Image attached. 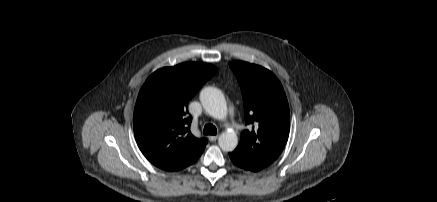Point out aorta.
I'll use <instances>...</instances> for the list:
<instances>
[{
	"mask_svg": "<svg viewBox=\"0 0 437 202\" xmlns=\"http://www.w3.org/2000/svg\"><path fill=\"white\" fill-rule=\"evenodd\" d=\"M200 101L205 111L216 119H223L227 115V104L223 93L215 87H205L200 93ZM223 151L231 152L238 145V137L234 131L223 132L218 139Z\"/></svg>",
	"mask_w": 437,
	"mask_h": 202,
	"instance_id": "1",
	"label": "aorta"
}]
</instances>
